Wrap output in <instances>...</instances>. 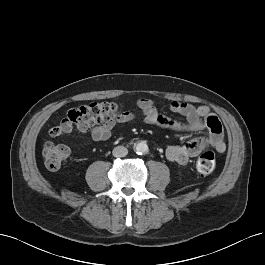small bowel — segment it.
I'll return each mask as SVG.
<instances>
[{
	"label": "small bowel",
	"mask_w": 265,
	"mask_h": 265,
	"mask_svg": "<svg viewBox=\"0 0 265 265\" xmlns=\"http://www.w3.org/2000/svg\"><path fill=\"white\" fill-rule=\"evenodd\" d=\"M140 113L125 111L116 121H109L95 125L90 131V137L95 142H104L111 138L112 129L117 123H127L141 116L145 123L160 128L185 131L201 132L208 126V118L211 117L210 110L205 106L195 107L191 104L173 101L170 105L171 112L181 115L186 122L174 120L170 117L161 115L156 108L155 103L147 98L137 101ZM210 130V129H209ZM210 143L218 152L223 153L226 150V144L222 134L215 135L211 133L209 140L192 139L184 145H171L166 149V158L173 163L185 165L188 161L197 156Z\"/></svg>",
	"instance_id": "obj_1"
}]
</instances>
